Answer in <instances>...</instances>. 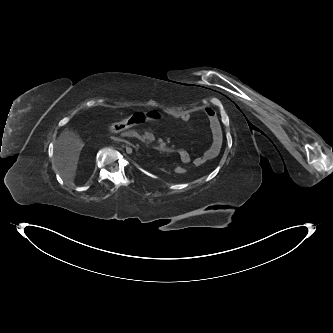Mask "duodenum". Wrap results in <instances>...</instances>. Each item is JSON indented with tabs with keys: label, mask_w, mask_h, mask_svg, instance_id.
I'll use <instances>...</instances> for the list:
<instances>
[{
	"label": "duodenum",
	"mask_w": 333,
	"mask_h": 333,
	"mask_svg": "<svg viewBox=\"0 0 333 333\" xmlns=\"http://www.w3.org/2000/svg\"><path fill=\"white\" fill-rule=\"evenodd\" d=\"M128 136L137 137V131H126L120 133V138H125ZM155 149L160 152L168 151V149L163 146H155Z\"/></svg>",
	"instance_id": "1"
}]
</instances>
